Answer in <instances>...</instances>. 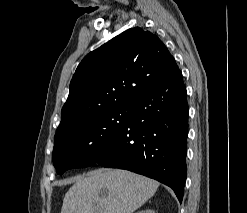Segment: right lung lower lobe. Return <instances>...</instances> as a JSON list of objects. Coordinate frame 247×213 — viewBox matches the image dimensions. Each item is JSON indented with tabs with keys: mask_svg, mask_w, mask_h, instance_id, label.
<instances>
[{
	"mask_svg": "<svg viewBox=\"0 0 247 213\" xmlns=\"http://www.w3.org/2000/svg\"><path fill=\"white\" fill-rule=\"evenodd\" d=\"M129 101L128 121L96 163L158 180L171 187L182 202L189 109L180 69Z\"/></svg>",
	"mask_w": 247,
	"mask_h": 213,
	"instance_id": "1",
	"label": "right lung lower lobe"
}]
</instances>
